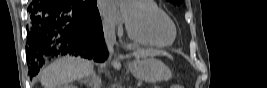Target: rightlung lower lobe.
<instances>
[{
  "mask_svg": "<svg viewBox=\"0 0 267 88\" xmlns=\"http://www.w3.org/2000/svg\"><path fill=\"white\" fill-rule=\"evenodd\" d=\"M26 56L29 75L35 76L48 57L72 54L102 62L105 48L97 8H81L71 0H33L29 7Z\"/></svg>",
  "mask_w": 267,
  "mask_h": 88,
  "instance_id": "obj_1",
  "label": "right lung lower lobe"
}]
</instances>
